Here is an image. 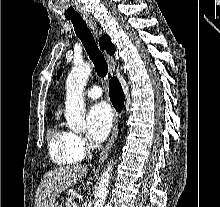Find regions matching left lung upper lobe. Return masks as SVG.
<instances>
[{
  "instance_id": "left-lung-upper-lobe-1",
  "label": "left lung upper lobe",
  "mask_w": 220,
  "mask_h": 207,
  "mask_svg": "<svg viewBox=\"0 0 220 207\" xmlns=\"http://www.w3.org/2000/svg\"><path fill=\"white\" fill-rule=\"evenodd\" d=\"M61 73H62V69H60V70L58 71V77H60Z\"/></svg>"
}]
</instances>
